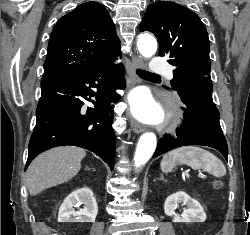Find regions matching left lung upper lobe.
Segmentation results:
<instances>
[{
    "label": "left lung upper lobe",
    "mask_w": 250,
    "mask_h": 235,
    "mask_svg": "<svg viewBox=\"0 0 250 235\" xmlns=\"http://www.w3.org/2000/svg\"><path fill=\"white\" fill-rule=\"evenodd\" d=\"M157 37L159 56L175 66L172 87L176 90L192 77L210 78L209 39L197 14L175 2L151 4L139 27Z\"/></svg>",
    "instance_id": "left-lung-upper-lobe-1"
}]
</instances>
